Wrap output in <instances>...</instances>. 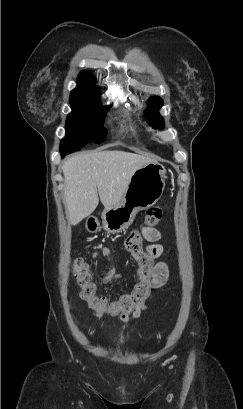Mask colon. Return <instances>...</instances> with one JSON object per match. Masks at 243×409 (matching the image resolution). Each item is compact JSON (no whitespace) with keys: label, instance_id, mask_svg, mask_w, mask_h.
I'll use <instances>...</instances> for the list:
<instances>
[{"label":"colon","instance_id":"5ec220e1","mask_svg":"<svg viewBox=\"0 0 243 409\" xmlns=\"http://www.w3.org/2000/svg\"><path fill=\"white\" fill-rule=\"evenodd\" d=\"M163 210L159 205L147 209L144 222L140 228L132 230L124 241L126 250L135 258H143L142 250V229L154 227L162 218ZM149 268L144 269L148 273ZM73 274L79 286L81 295L90 305L98 311H106L111 314H118L127 311L135 305H140L148 296V291L143 286H137L131 293L122 296L115 301H108L104 297L95 295V286L91 281V275L88 265L82 259H76L73 262Z\"/></svg>","mask_w":243,"mask_h":409}]
</instances>
